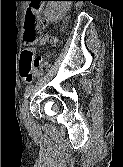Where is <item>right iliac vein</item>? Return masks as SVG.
Here are the masks:
<instances>
[{
	"label": "right iliac vein",
	"mask_w": 123,
	"mask_h": 167,
	"mask_svg": "<svg viewBox=\"0 0 123 167\" xmlns=\"http://www.w3.org/2000/svg\"><path fill=\"white\" fill-rule=\"evenodd\" d=\"M28 105H29V98H26L24 103H23V106H22V109H21V112H22V115L25 117L28 113Z\"/></svg>",
	"instance_id": "1"
}]
</instances>
